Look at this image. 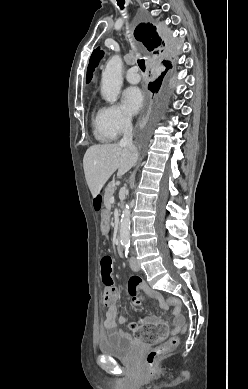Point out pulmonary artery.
<instances>
[{
    "label": "pulmonary artery",
    "instance_id": "obj_1",
    "mask_svg": "<svg viewBox=\"0 0 248 389\" xmlns=\"http://www.w3.org/2000/svg\"><path fill=\"white\" fill-rule=\"evenodd\" d=\"M141 77L138 74L137 67L130 68L126 73V80L131 84H136L140 81Z\"/></svg>",
    "mask_w": 248,
    "mask_h": 389
}]
</instances>
